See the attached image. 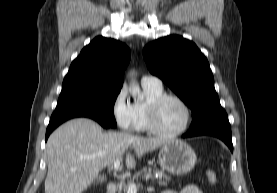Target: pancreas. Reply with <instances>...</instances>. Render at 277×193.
<instances>
[{"instance_id":"pancreas-1","label":"pancreas","mask_w":277,"mask_h":193,"mask_svg":"<svg viewBox=\"0 0 277 193\" xmlns=\"http://www.w3.org/2000/svg\"><path fill=\"white\" fill-rule=\"evenodd\" d=\"M151 178L152 180H157L160 186H166L170 177L167 176L163 170L152 169V168H142L140 171L136 172L132 178H130L127 182H120L118 184L119 193H126L130 183L134 182V180Z\"/></svg>"}]
</instances>
